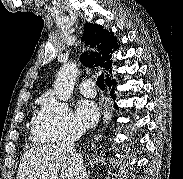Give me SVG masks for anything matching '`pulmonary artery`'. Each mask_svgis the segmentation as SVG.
<instances>
[{"mask_svg":"<svg viewBox=\"0 0 183 179\" xmlns=\"http://www.w3.org/2000/svg\"><path fill=\"white\" fill-rule=\"evenodd\" d=\"M80 92L88 97H93L96 94L94 82L92 79H84L79 83Z\"/></svg>","mask_w":183,"mask_h":179,"instance_id":"e3ab8cb5","label":"pulmonary artery"}]
</instances>
